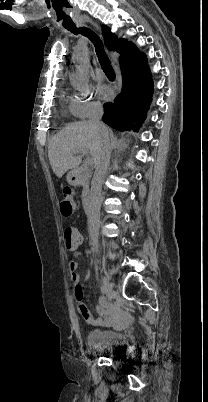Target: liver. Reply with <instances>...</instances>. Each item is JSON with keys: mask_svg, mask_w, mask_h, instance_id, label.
Wrapping results in <instances>:
<instances>
[{"mask_svg": "<svg viewBox=\"0 0 208 402\" xmlns=\"http://www.w3.org/2000/svg\"><path fill=\"white\" fill-rule=\"evenodd\" d=\"M109 130L105 132L88 122H75L67 128L57 132L49 142L48 156L51 168L57 176L62 178L67 170L78 168L81 162H76L73 154L90 150L93 164H96L103 140H108Z\"/></svg>", "mask_w": 208, "mask_h": 402, "instance_id": "1", "label": "liver"}]
</instances>
